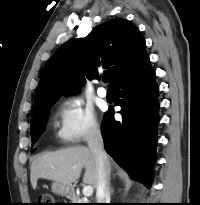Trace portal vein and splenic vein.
Masks as SVG:
<instances>
[{
	"label": "portal vein and splenic vein",
	"instance_id": "obj_1",
	"mask_svg": "<svg viewBox=\"0 0 200 205\" xmlns=\"http://www.w3.org/2000/svg\"><path fill=\"white\" fill-rule=\"evenodd\" d=\"M83 195L89 197L93 194V187L91 185H87L83 188Z\"/></svg>",
	"mask_w": 200,
	"mask_h": 205
}]
</instances>
